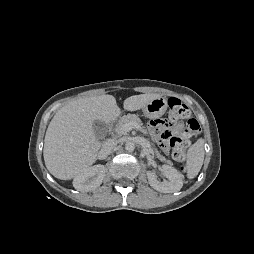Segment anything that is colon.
I'll return each instance as SVG.
<instances>
[{
    "instance_id": "5ec220e1",
    "label": "colon",
    "mask_w": 254,
    "mask_h": 254,
    "mask_svg": "<svg viewBox=\"0 0 254 254\" xmlns=\"http://www.w3.org/2000/svg\"><path fill=\"white\" fill-rule=\"evenodd\" d=\"M169 118L165 119L171 126L161 132V142L172 149V157L182 162L192 140L200 132V126L195 119H188L185 124L181 120L189 116V107L177 98L168 99Z\"/></svg>"
}]
</instances>
